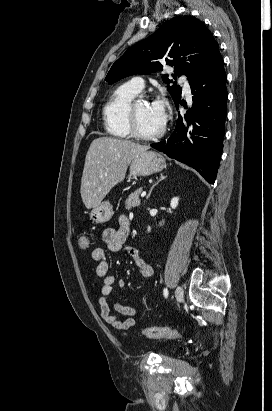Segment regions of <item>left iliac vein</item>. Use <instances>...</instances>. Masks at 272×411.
Instances as JSON below:
<instances>
[{
    "label": "left iliac vein",
    "instance_id": "4c4485c4",
    "mask_svg": "<svg viewBox=\"0 0 272 411\" xmlns=\"http://www.w3.org/2000/svg\"><path fill=\"white\" fill-rule=\"evenodd\" d=\"M184 290L181 286H178L175 290V299L177 302H181L183 300Z\"/></svg>",
    "mask_w": 272,
    "mask_h": 411
}]
</instances>
